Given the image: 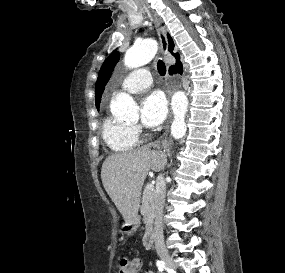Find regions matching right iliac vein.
Instances as JSON below:
<instances>
[{"instance_id": "63e3f726", "label": "right iliac vein", "mask_w": 285, "mask_h": 273, "mask_svg": "<svg viewBox=\"0 0 285 273\" xmlns=\"http://www.w3.org/2000/svg\"><path fill=\"white\" fill-rule=\"evenodd\" d=\"M160 257L161 259L164 261V263L166 264V266L170 269H176L177 265L176 263L173 261V259L171 258V256L167 253H160Z\"/></svg>"}]
</instances>
